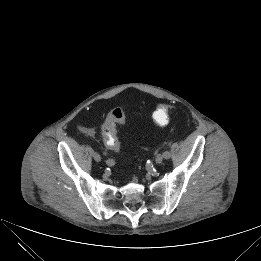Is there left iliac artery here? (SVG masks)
<instances>
[{"label":"left iliac artery","instance_id":"44dca946","mask_svg":"<svg viewBox=\"0 0 261 261\" xmlns=\"http://www.w3.org/2000/svg\"><path fill=\"white\" fill-rule=\"evenodd\" d=\"M162 154L165 159H169L171 157V152L169 150H164Z\"/></svg>","mask_w":261,"mask_h":261}]
</instances>
